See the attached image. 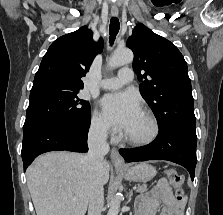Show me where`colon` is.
<instances>
[{
  "label": "colon",
  "mask_w": 223,
  "mask_h": 215,
  "mask_svg": "<svg viewBox=\"0 0 223 215\" xmlns=\"http://www.w3.org/2000/svg\"><path fill=\"white\" fill-rule=\"evenodd\" d=\"M166 175L168 177V179L172 182L175 192H176V197L177 200L179 202H183L184 201V191L182 189V185H183V177L178 174L175 170L173 169H168L166 171Z\"/></svg>",
  "instance_id": "1"
}]
</instances>
